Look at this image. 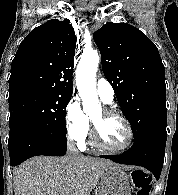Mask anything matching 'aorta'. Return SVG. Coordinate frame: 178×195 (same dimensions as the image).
I'll return each mask as SVG.
<instances>
[{"label":"aorta","instance_id":"762f6f07","mask_svg":"<svg viewBox=\"0 0 178 195\" xmlns=\"http://www.w3.org/2000/svg\"><path fill=\"white\" fill-rule=\"evenodd\" d=\"M97 51L85 52L79 61L76 70V85L83 101V111L90 114L100 107L96 92V71L99 65Z\"/></svg>","mask_w":178,"mask_h":195}]
</instances>
